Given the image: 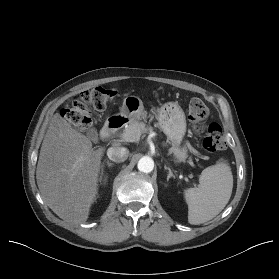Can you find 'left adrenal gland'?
Listing matches in <instances>:
<instances>
[{
  "label": "left adrenal gland",
  "mask_w": 279,
  "mask_h": 279,
  "mask_svg": "<svg viewBox=\"0 0 279 279\" xmlns=\"http://www.w3.org/2000/svg\"><path fill=\"white\" fill-rule=\"evenodd\" d=\"M164 168H165L166 170H168L167 181H168L171 177H173V178L175 177L174 174H173V172H172V170H171L169 167H167V166L165 165Z\"/></svg>",
  "instance_id": "1"
}]
</instances>
